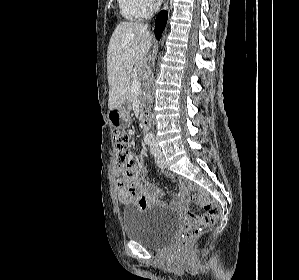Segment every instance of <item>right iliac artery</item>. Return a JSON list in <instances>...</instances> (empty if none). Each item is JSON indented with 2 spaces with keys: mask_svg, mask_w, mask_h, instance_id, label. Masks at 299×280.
<instances>
[{
  "mask_svg": "<svg viewBox=\"0 0 299 280\" xmlns=\"http://www.w3.org/2000/svg\"><path fill=\"white\" fill-rule=\"evenodd\" d=\"M145 142H146V144H150L151 140L147 139Z\"/></svg>",
  "mask_w": 299,
  "mask_h": 280,
  "instance_id": "right-iliac-artery-1",
  "label": "right iliac artery"
}]
</instances>
